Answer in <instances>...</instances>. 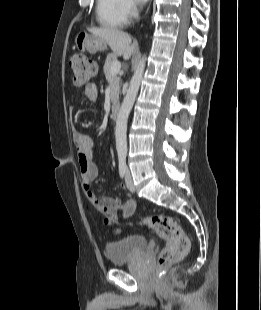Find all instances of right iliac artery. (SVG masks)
Wrapping results in <instances>:
<instances>
[{"instance_id": "1", "label": "right iliac artery", "mask_w": 261, "mask_h": 310, "mask_svg": "<svg viewBox=\"0 0 261 310\" xmlns=\"http://www.w3.org/2000/svg\"><path fill=\"white\" fill-rule=\"evenodd\" d=\"M119 174L123 178L126 174V159L125 157H119Z\"/></svg>"}]
</instances>
